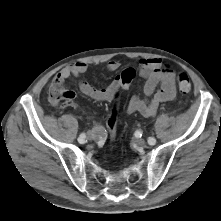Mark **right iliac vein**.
<instances>
[{"label":"right iliac vein","mask_w":221,"mask_h":221,"mask_svg":"<svg viewBox=\"0 0 221 221\" xmlns=\"http://www.w3.org/2000/svg\"><path fill=\"white\" fill-rule=\"evenodd\" d=\"M87 138H88V140H96L97 139V135L94 133V132H91V131H89L88 133H87Z\"/></svg>","instance_id":"obj_1"}]
</instances>
